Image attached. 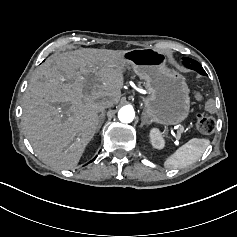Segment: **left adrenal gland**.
<instances>
[{"mask_svg":"<svg viewBox=\"0 0 237 237\" xmlns=\"http://www.w3.org/2000/svg\"><path fill=\"white\" fill-rule=\"evenodd\" d=\"M145 124H147V118L142 117L141 118V127H143Z\"/></svg>","mask_w":237,"mask_h":237,"instance_id":"1","label":"left adrenal gland"}]
</instances>
